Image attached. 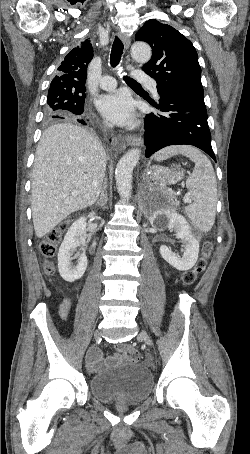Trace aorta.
<instances>
[{
	"label": "aorta",
	"instance_id": "1",
	"mask_svg": "<svg viewBox=\"0 0 250 454\" xmlns=\"http://www.w3.org/2000/svg\"><path fill=\"white\" fill-rule=\"evenodd\" d=\"M132 58L138 63H147L151 58V48L145 42H135L131 46ZM139 149L127 151L119 160L115 178L119 195L124 199H129L132 192V173L140 158Z\"/></svg>",
	"mask_w": 250,
	"mask_h": 454
}]
</instances>
